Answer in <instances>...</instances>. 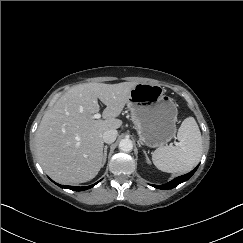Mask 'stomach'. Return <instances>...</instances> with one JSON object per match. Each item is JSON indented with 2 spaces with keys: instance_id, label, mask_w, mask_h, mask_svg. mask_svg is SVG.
<instances>
[{
  "instance_id": "0dacf381",
  "label": "stomach",
  "mask_w": 243,
  "mask_h": 243,
  "mask_svg": "<svg viewBox=\"0 0 243 243\" xmlns=\"http://www.w3.org/2000/svg\"><path fill=\"white\" fill-rule=\"evenodd\" d=\"M127 107L139 139L146 146L162 147L175 136L177 106L160 85L137 83Z\"/></svg>"
}]
</instances>
